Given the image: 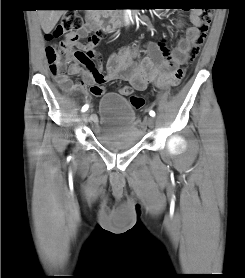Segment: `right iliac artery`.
<instances>
[{
  "label": "right iliac artery",
  "mask_w": 245,
  "mask_h": 278,
  "mask_svg": "<svg viewBox=\"0 0 245 278\" xmlns=\"http://www.w3.org/2000/svg\"><path fill=\"white\" fill-rule=\"evenodd\" d=\"M87 109H88V105L86 104V105H84V106L82 107V112L87 111Z\"/></svg>",
  "instance_id": "obj_1"
}]
</instances>
